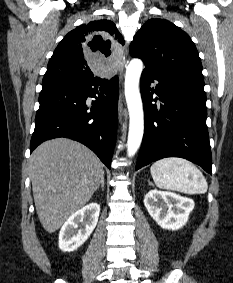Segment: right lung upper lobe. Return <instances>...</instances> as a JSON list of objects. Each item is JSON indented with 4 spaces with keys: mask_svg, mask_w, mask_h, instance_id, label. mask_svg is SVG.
<instances>
[{
    "mask_svg": "<svg viewBox=\"0 0 233 283\" xmlns=\"http://www.w3.org/2000/svg\"><path fill=\"white\" fill-rule=\"evenodd\" d=\"M124 39L116 25L106 19L90 21L69 32L49 60L42 83L53 80H90L93 70H111L118 44Z\"/></svg>",
    "mask_w": 233,
    "mask_h": 283,
    "instance_id": "right-lung-upper-lobe-1",
    "label": "right lung upper lobe"
}]
</instances>
